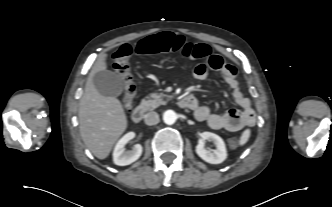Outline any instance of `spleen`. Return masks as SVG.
I'll return each instance as SVG.
<instances>
[{"label": "spleen", "instance_id": "3e777b00", "mask_svg": "<svg viewBox=\"0 0 332 207\" xmlns=\"http://www.w3.org/2000/svg\"><path fill=\"white\" fill-rule=\"evenodd\" d=\"M250 133H251V132H250L249 129L245 130V131L242 133V136H241L240 141H239V144H240L241 146L247 143V141L249 140V137H250Z\"/></svg>", "mask_w": 332, "mask_h": 207}]
</instances>
